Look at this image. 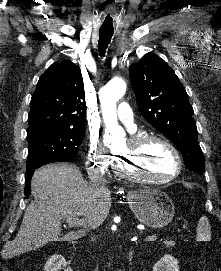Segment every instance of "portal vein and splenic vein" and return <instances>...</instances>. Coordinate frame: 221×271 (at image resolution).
<instances>
[{
    "mask_svg": "<svg viewBox=\"0 0 221 271\" xmlns=\"http://www.w3.org/2000/svg\"><path fill=\"white\" fill-rule=\"evenodd\" d=\"M63 219H65L69 227H77V225H85L86 223V217H82V219H79V217H76V215H65ZM144 238L146 240L154 241L157 240L159 237L157 235H146Z\"/></svg>",
    "mask_w": 221,
    "mask_h": 271,
    "instance_id": "1",
    "label": "portal vein and splenic vein"
}]
</instances>
